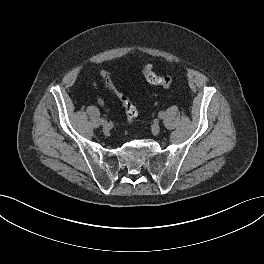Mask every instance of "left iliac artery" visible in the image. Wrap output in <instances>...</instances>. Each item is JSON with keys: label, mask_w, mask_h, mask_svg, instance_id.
Segmentation results:
<instances>
[{"label": "left iliac artery", "mask_w": 264, "mask_h": 264, "mask_svg": "<svg viewBox=\"0 0 264 264\" xmlns=\"http://www.w3.org/2000/svg\"><path fill=\"white\" fill-rule=\"evenodd\" d=\"M164 115H165L164 112H159L158 117H159L160 119H162V118H164Z\"/></svg>", "instance_id": "left-iliac-artery-1"}]
</instances>
